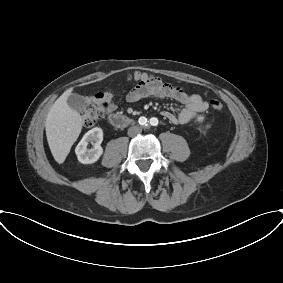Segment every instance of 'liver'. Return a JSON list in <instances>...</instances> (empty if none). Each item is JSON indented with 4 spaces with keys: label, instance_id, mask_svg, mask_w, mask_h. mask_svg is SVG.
I'll return each mask as SVG.
<instances>
[{
    "label": "liver",
    "instance_id": "obj_1",
    "mask_svg": "<svg viewBox=\"0 0 283 283\" xmlns=\"http://www.w3.org/2000/svg\"><path fill=\"white\" fill-rule=\"evenodd\" d=\"M72 88L65 91L53 104L45 121L49 148L59 164H62L82 130L80 114L69 107L67 98Z\"/></svg>",
    "mask_w": 283,
    "mask_h": 283
}]
</instances>
